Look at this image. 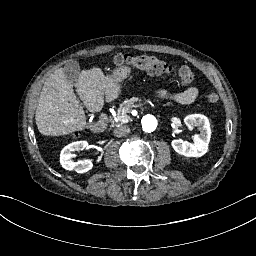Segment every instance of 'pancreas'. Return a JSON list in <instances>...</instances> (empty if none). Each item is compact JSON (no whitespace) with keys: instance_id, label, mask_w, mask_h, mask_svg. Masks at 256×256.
<instances>
[{"instance_id":"pancreas-1","label":"pancreas","mask_w":256,"mask_h":256,"mask_svg":"<svg viewBox=\"0 0 256 256\" xmlns=\"http://www.w3.org/2000/svg\"><path fill=\"white\" fill-rule=\"evenodd\" d=\"M138 100H134V101H128L126 103L123 104V108H124V113L125 114H129L132 112L133 108L135 107V103H137ZM120 112V110H119ZM119 122H115V126L117 125H121L124 124L125 122H127L129 120L128 117L122 118L121 116H118Z\"/></svg>"}]
</instances>
